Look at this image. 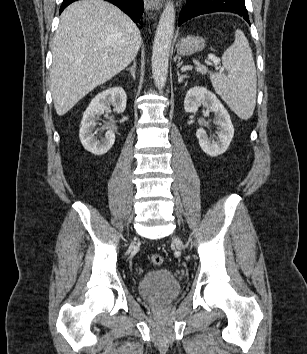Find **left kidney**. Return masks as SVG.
Here are the masks:
<instances>
[{"instance_id":"5707ae66","label":"left kidney","mask_w":307,"mask_h":354,"mask_svg":"<svg viewBox=\"0 0 307 354\" xmlns=\"http://www.w3.org/2000/svg\"><path fill=\"white\" fill-rule=\"evenodd\" d=\"M201 104L215 114L214 123L218 126L217 138L216 141H211L203 128L196 131V136L201 149L207 155L216 157L228 149L234 136V127L230 115L214 93L200 86L189 89L184 100L185 111L195 112Z\"/></svg>"}]
</instances>
